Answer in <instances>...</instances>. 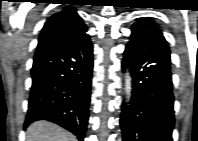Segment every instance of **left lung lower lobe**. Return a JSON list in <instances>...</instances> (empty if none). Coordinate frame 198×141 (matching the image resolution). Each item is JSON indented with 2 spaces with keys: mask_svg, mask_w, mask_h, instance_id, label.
<instances>
[{
  "mask_svg": "<svg viewBox=\"0 0 198 141\" xmlns=\"http://www.w3.org/2000/svg\"><path fill=\"white\" fill-rule=\"evenodd\" d=\"M166 41L131 35L123 68L132 77V96L120 119L123 141H172L174 95Z\"/></svg>",
  "mask_w": 198,
  "mask_h": 141,
  "instance_id": "0a47b994",
  "label": "left lung lower lobe"
}]
</instances>
